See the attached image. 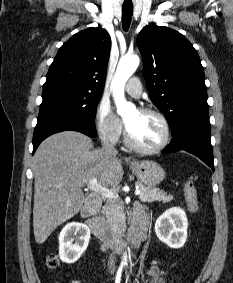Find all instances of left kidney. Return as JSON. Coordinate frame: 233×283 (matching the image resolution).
Masks as SVG:
<instances>
[{"label": "left kidney", "mask_w": 233, "mask_h": 283, "mask_svg": "<svg viewBox=\"0 0 233 283\" xmlns=\"http://www.w3.org/2000/svg\"><path fill=\"white\" fill-rule=\"evenodd\" d=\"M188 220L183 209L173 207L164 212L155 223L160 241L170 248L183 247L187 239Z\"/></svg>", "instance_id": "5707ae66"}]
</instances>
